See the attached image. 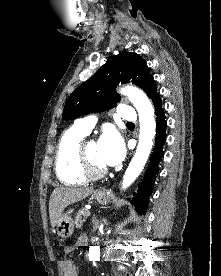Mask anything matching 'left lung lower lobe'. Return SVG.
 I'll return each instance as SVG.
<instances>
[{"instance_id":"1","label":"left lung lower lobe","mask_w":221,"mask_h":276,"mask_svg":"<svg viewBox=\"0 0 221 276\" xmlns=\"http://www.w3.org/2000/svg\"><path fill=\"white\" fill-rule=\"evenodd\" d=\"M153 105L156 114V132L157 136L155 138V146L148 164L146 173L142 182L138 186L137 193H133L134 197L131 202L135 205V208L139 214H145L146 208L148 206V199L153 191V185L155 182L156 174L158 173V163L162 157V146L165 143V131L167 122L165 120V113L162 109V102L159 94H157L153 99Z\"/></svg>"}]
</instances>
